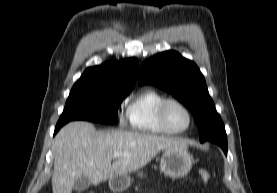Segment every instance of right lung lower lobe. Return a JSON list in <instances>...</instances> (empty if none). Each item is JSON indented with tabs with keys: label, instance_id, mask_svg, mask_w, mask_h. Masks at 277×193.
I'll list each match as a JSON object with an SVG mask.
<instances>
[{
	"label": "right lung lower lobe",
	"instance_id": "obj_1",
	"mask_svg": "<svg viewBox=\"0 0 277 193\" xmlns=\"http://www.w3.org/2000/svg\"><path fill=\"white\" fill-rule=\"evenodd\" d=\"M63 125H64V124H58V123H57V125H56V127H55V132H54V134H56L57 131H59V129H60Z\"/></svg>",
	"mask_w": 277,
	"mask_h": 193
}]
</instances>
